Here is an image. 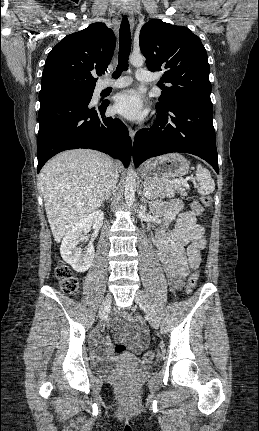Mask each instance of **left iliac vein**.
I'll return each instance as SVG.
<instances>
[{
  "label": "left iliac vein",
  "instance_id": "obj_1",
  "mask_svg": "<svg viewBox=\"0 0 259 431\" xmlns=\"http://www.w3.org/2000/svg\"><path fill=\"white\" fill-rule=\"evenodd\" d=\"M134 299H135V302L139 305V307L142 308L146 312L151 325L155 329H158L159 320H158L157 314H156L153 306L151 305V303L149 302V300L145 296L144 292L141 290H138L135 293Z\"/></svg>",
  "mask_w": 259,
  "mask_h": 431
}]
</instances>
